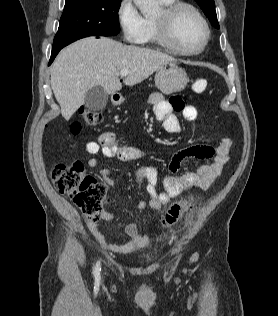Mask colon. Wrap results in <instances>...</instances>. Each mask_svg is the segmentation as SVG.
<instances>
[{"label": "colon", "mask_w": 278, "mask_h": 316, "mask_svg": "<svg viewBox=\"0 0 278 316\" xmlns=\"http://www.w3.org/2000/svg\"><path fill=\"white\" fill-rule=\"evenodd\" d=\"M206 88V79H196L192 84L193 91L198 94L203 93ZM82 118L88 125H96L101 121L102 114L85 110L82 112ZM71 129L73 133H78L80 124L73 123ZM51 181L59 193L73 200L88 222L97 224L103 215L107 190L105 185L87 173L81 162L56 165L51 173ZM191 206L189 199L174 203L161 217V226L168 228L176 225Z\"/></svg>", "instance_id": "1"}]
</instances>
